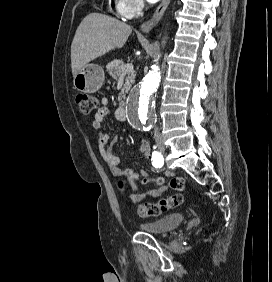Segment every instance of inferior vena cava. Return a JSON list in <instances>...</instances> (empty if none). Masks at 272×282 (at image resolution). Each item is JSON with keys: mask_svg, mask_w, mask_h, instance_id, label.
Returning <instances> with one entry per match:
<instances>
[{"mask_svg": "<svg viewBox=\"0 0 272 282\" xmlns=\"http://www.w3.org/2000/svg\"><path fill=\"white\" fill-rule=\"evenodd\" d=\"M154 138H155V140H160L161 139V134L159 132L158 127H155V129H154Z\"/></svg>", "mask_w": 272, "mask_h": 282, "instance_id": "obj_1", "label": "inferior vena cava"}]
</instances>
